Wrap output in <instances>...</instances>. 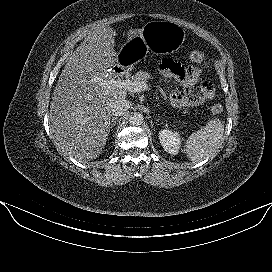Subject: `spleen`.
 Wrapping results in <instances>:
<instances>
[{
	"instance_id": "1",
	"label": "spleen",
	"mask_w": 272,
	"mask_h": 272,
	"mask_svg": "<svg viewBox=\"0 0 272 272\" xmlns=\"http://www.w3.org/2000/svg\"><path fill=\"white\" fill-rule=\"evenodd\" d=\"M224 133V123L218 118L208 121L207 125L193 132L185 141L184 152L194 163L215 154Z\"/></svg>"
}]
</instances>
